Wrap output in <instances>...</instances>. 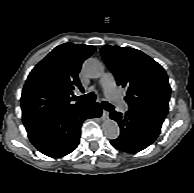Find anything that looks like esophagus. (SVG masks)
Returning <instances> with one entry per match:
<instances>
[{"label":"esophagus","instance_id":"1","mask_svg":"<svg viewBox=\"0 0 194 193\" xmlns=\"http://www.w3.org/2000/svg\"><path fill=\"white\" fill-rule=\"evenodd\" d=\"M109 117V112L106 110H103V118L106 119Z\"/></svg>","mask_w":194,"mask_h":193}]
</instances>
